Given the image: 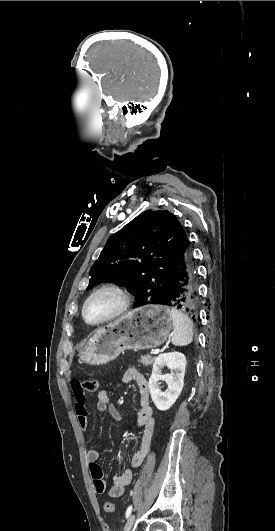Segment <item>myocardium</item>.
Returning a JSON list of instances; mask_svg holds the SVG:
<instances>
[{
	"mask_svg": "<svg viewBox=\"0 0 275 531\" xmlns=\"http://www.w3.org/2000/svg\"><path fill=\"white\" fill-rule=\"evenodd\" d=\"M102 294L114 295L118 300V305L116 309L113 312H111L109 315H107L106 317L96 320V321H91L87 319L85 315L86 305L92 299ZM129 305H130V295L127 289L120 284L108 283V284H104L98 287L84 299L82 306H81V316H82V319L89 325H101L109 321H112L116 319L117 317H119L120 315H122L128 309Z\"/></svg>",
	"mask_w": 275,
	"mask_h": 531,
	"instance_id": "1",
	"label": "myocardium"
}]
</instances>
